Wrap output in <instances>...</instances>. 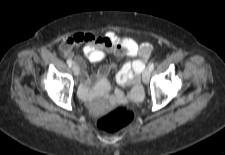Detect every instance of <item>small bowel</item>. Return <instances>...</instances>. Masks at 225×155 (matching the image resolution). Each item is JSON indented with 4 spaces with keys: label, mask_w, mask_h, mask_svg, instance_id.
<instances>
[{
    "label": "small bowel",
    "mask_w": 225,
    "mask_h": 155,
    "mask_svg": "<svg viewBox=\"0 0 225 155\" xmlns=\"http://www.w3.org/2000/svg\"><path fill=\"white\" fill-rule=\"evenodd\" d=\"M83 47L84 55L90 62H100L107 53H113L119 57H129L127 61L117 69L115 80L124 87H130L128 92L121 89H112L108 78L111 69L116 66L111 64L99 69L95 76L89 77L85 71V63L82 57H74L73 49ZM60 50L68 59H74L82 68V85L80 96L83 100L92 102L95 99L108 94L106 100L109 103H126L129 101H139L143 96L139 85L140 73L145 68L146 62L151 54L152 46L148 43L139 44L137 40L130 36L118 35L113 31H108L101 36H96L89 32H78L67 37L60 45ZM139 56V58H136ZM92 85V87H90Z\"/></svg>",
    "instance_id": "1"
}]
</instances>
